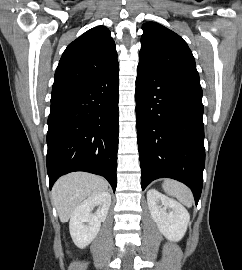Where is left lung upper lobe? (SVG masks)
Here are the masks:
<instances>
[{"mask_svg": "<svg viewBox=\"0 0 242 270\" xmlns=\"http://www.w3.org/2000/svg\"><path fill=\"white\" fill-rule=\"evenodd\" d=\"M142 29L139 65L201 87L192 52L179 35L155 22L143 24Z\"/></svg>", "mask_w": 242, "mask_h": 270, "instance_id": "obj_1", "label": "left lung upper lobe"}]
</instances>
